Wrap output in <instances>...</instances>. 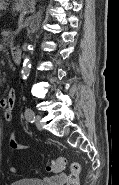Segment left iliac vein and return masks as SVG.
<instances>
[{
	"mask_svg": "<svg viewBox=\"0 0 119 185\" xmlns=\"http://www.w3.org/2000/svg\"><path fill=\"white\" fill-rule=\"evenodd\" d=\"M35 125L36 127L41 130L42 125H41V116L40 115H36L35 116Z\"/></svg>",
	"mask_w": 119,
	"mask_h": 185,
	"instance_id": "left-iliac-vein-1",
	"label": "left iliac vein"
}]
</instances>
